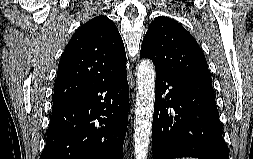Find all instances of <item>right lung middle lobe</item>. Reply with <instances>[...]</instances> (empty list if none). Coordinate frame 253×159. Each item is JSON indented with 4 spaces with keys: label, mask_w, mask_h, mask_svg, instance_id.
Here are the masks:
<instances>
[{
    "label": "right lung middle lobe",
    "mask_w": 253,
    "mask_h": 159,
    "mask_svg": "<svg viewBox=\"0 0 253 159\" xmlns=\"http://www.w3.org/2000/svg\"><path fill=\"white\" fill-rule=\"evenodd\" d=\"M63 104H53V110L60 108Z\"/></svg>",
    "instance_id": "dd1d6c3e"
}]
</instances>
